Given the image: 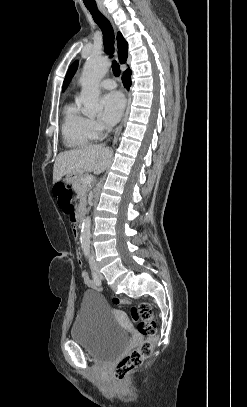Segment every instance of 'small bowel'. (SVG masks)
<instances>
[{
    "label": "small bowel",
    "mask_w": 247,
    "mask_h": 407,
    "mask_svg": "<svg viewBox=\"0 0 247 407\" xmlns=\"http://www.w3.org/2000/svg\"><path fill=\"white\" fill-rule=\"evenodd\" d=\"M68 218H69V220H70L72 223H75V222H76V215H75V212H73L71 215H69ZM74 235H75V236L78 235L76 229L74 230ZM82 279H83V281H84V283H85L86 286L92 287V286L94 285V284H93V281L90 279V277H89V275L87 274V272H82Z\"/></svg>",
    "instance_id": "obj_1"
}]
</instances>
